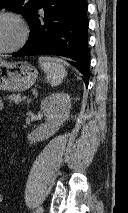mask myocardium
<instances>
[{
    "mask_svg": "<svg viewBox=\"0 0 128 213\" xmlns=\"http://www.w3.org/2000/svg\"><path fill=\"white\" fill-rule=\"evenodd\" d=\"M0 16L9 17V18L13 19L19 26L20 37H19L18 41L13 46L0 50V54L14 53V52L20 50L27 42V39L29 36L28 25L20 14L14 12V11H11V10H0Z\"/></svg>",
    "mask_w": 128,
    "mask_h": 213,
    "instance_id": "f54148a6",
    "label": "myocardium"
}]
</instances>
